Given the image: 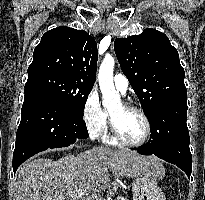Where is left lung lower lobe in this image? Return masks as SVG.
<instances>
[{
    "mask_svg": "<svg viewBox=\"0 0 205 200\" xmlns=\"http://www.w3.org/2000/svg\"><path fill=\"white\" fill-rule=\"evenodd\" d=\"M186 97L170 99L155 112L151 124V136L146 145L135 149L143 155H155L177 165L190 178L192 156L186 124Z\"/></svg>",
    "mask_w": 205,
    "mask_h": 200,
    "instance_id": "0a47b994",
    "label": "left lung lower lobe"
}]
</instances>
